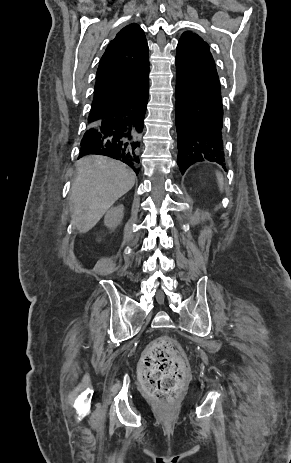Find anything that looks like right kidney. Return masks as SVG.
<instances>
[{"label": "right kidney", "mask_w": 291, "mask_h": 463, "mask_svg": "<svg viewBox=\"0 0 291 463\" xmlns=\"http://www.w3.org/2000/svg\"><path fill=\"white\" fill-rule=\"evenodd\" d=\"M124 206L118 205L107 211L104 217V224L110 229H115L122 221L124 216Z\"/></svg>", "instance_id": "ca27d5eb"}]
</instances>
